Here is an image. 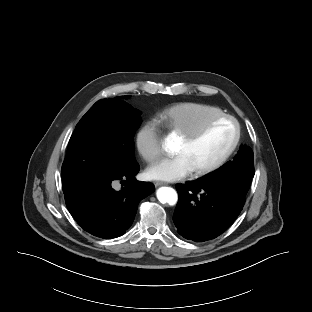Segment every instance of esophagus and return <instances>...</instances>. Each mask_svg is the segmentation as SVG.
<instances>
[{
    "mask_svg": "<svg viewBox=\"0 0 312 312\" xmlns=\"http://www.w3.org/2000/svg\"><path fill=\"white\" fill-rule=\"evenodd\" d=\"M167 183H165V182H161V181H156V182H154V185L156 186V187H159V186H162V185H166Z\"/></svg>",
    "mask_w": 312,
    "mask_h": 312,
    "instance_id": "obj_1",
    "label": "esophagus"
}]
</instances>
